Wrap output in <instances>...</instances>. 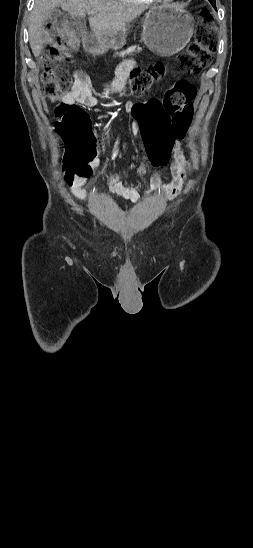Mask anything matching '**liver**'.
I'll return each instance as SVG.
<instances>
[{"mask_svg":"<svg viewBox=\"0 0 253 548\" xmlns=\"http://www.w3.org/2000/svg\"><path fill=\"white\" fill-rule=\"evenodd\" d=\"M61 7L71 16L83 18L87 10L89 25L95 36L117 38L125 35L126 26L145 8L115 0H35L29 22V42L35 57H38L48 42L49 33L44 24L51 11Z\"/></svg>","mask_w":253,"mask_h":548,"instance_id":"1","label":"liver"}]
</instances>
